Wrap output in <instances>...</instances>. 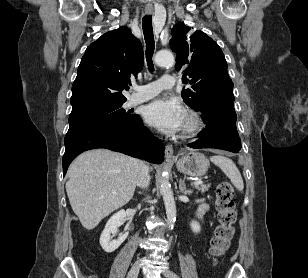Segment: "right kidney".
Masks as SVG:
<instances>
[{"label": "right kidney", "instance_id": "1", "mask_svg": "<svg viewBox=\"0 0 308 278\" xmlns=\"http://www.w3.org/2000/svg\"><path fill=\"white\" fill-rule=\"evenodd\" d=\"M125 217V211L120 210L115 213L106 223L105 228L100 236V245L105 252L111 253L115 251L127 238L128 232L119 236L115 240L111 239V234H115L117 232V228L123 224Z\"/></svg>", "mask_w": 308, "mask_h": 278}]
</instances>
